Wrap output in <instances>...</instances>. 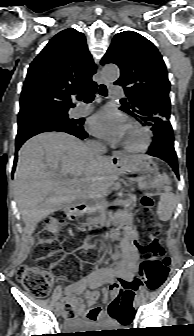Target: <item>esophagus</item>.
Returning a JSON list of instances; mask_svg holds the SVG:
<instances>
[{
  "label": "esophagus",
  "mask_w": 194,
  "mask_h": 336,
  "mask_svg": "<svg viewBox=\"0 0 194 336\" xmlns=\"http://www.w3.org/2000/svg\"><path fill=\"white\" fill-rule=\"evenodd\" d=\"M99 84L107 85V82H105L102 78L99 79ZM122 156L121 152L114 151L112 154V161H117Z\"/></svg>",
  "instance_id": "esophagus-1"
}]
</instances>
